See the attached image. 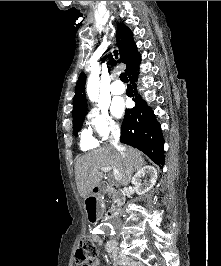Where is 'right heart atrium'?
Returning <instances> with one entry per match:
<instances>
[{
  "label": "right heart atrium",
  "instance_id": "obj_1",
  "mask_svg": "<svg viewBox=\"0 0 221 266\" xmlns=\"http://www.w3.org/2000/svg\"><path fill=\"white\" fill-rule=\"evenodd\" d=\"M87 122L98 139L102 141L108 140L120 132L118 123L110 115L108 109L103 106L91 109L87 114Z\"/></svg>",
  "mask_w": 221,
  "mask_h": 266
}]
</instances>
